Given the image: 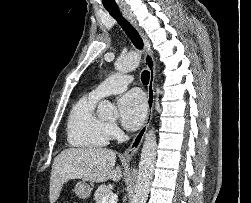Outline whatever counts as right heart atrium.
Listing matches in <instances>:
<instances>
[{
  "label": "right heart atrium",
  "mask_w": 251,
  "mask_h": 203,
  "mask_svg": "<svg viewBox=\"0 0 251 203\" xmlns=\"http://www.w3.org/2000/svg\"><path fill=\"white\" fill-rule=\"evenodd\" d=\"M107 132L110 138H115L119 135L120 130L118 126L114 123H108L107 124Z\"/></svg>",
  "instance_id": "d8ad5b80"
}]
</instances>
